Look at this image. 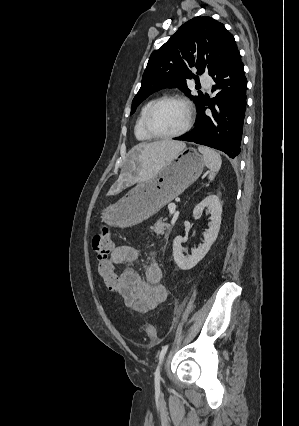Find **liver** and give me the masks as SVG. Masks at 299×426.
Returning a JSON list of instances; mask_svg holds the SVG:
<instances>
[{
	"label": "liver",
	"instance_id": "6515ba94",
	"mask_svg": "<svg viewBox=\"0 0 299 426\" xmlns=\"http://www.w3.org/2000/svg\"><path fill=\"white\" fill-rule=\"evenodd\" d=\"M185 147V143L172 140L141 143L135 146L130 152V164L137 171L135 180H151Z\"/></svg>",
	"mask_w": 299,
	"mask_h": 426
}]
</instances>
